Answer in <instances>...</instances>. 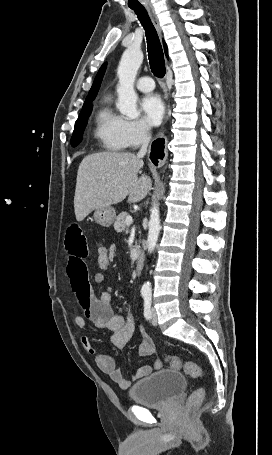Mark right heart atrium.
I'll use <instances>...</instances> for the list:
<instances>
[{"instance_id": "1", "label": "right heart atrium", "mask_w": 272, "mask_h": 455, "mask_svg": "<svg viewBox=\"0 0 272 455\" xmlns=\"http://www.w3.org/2000/svg\"><path fill=\"white\" fill-rule=\"evenodd\" d=\"M122 134L127 147L135 148L148 141L150 130L141 120H123Z\"/></svg>"}]
</instances>
